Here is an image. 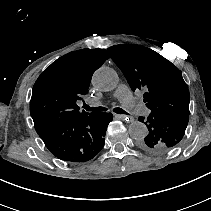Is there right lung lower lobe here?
Instances as JSON below:
<instances>
[{"instance_id":"98d812e1","label":"right lung lower lobe","mask_w":211,"mask_h":211,"mask_svg":"<svg viewBox=\"0 0 211 211\" xmlns=\"http://www.w3.org/2000/svg\"><path fill=\"white\" fill-rule=\"evenodd\" d=\"M112 119L111 113H90L38 135L55 157L67 162H85L103 148L105 132Z\"/></svg>"}]
</instances>
